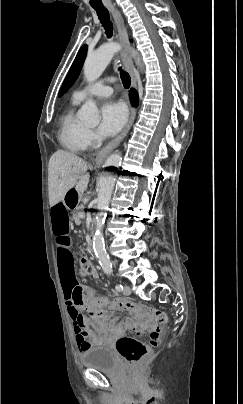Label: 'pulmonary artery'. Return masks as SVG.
<instances>
[{
    "label": "pulmonary artery",
    "instance_id": "pulmonary-artery-1",
    "mask_svg": "<svg viewBox=\"0 0 243 404\" xmlns=\"http://www.w3.org/2000/svg\"><path fill=\"white\" fill-rule=\"evenodd\" d=\"M105 51H101L99 54H104ZM108 58L105 57L103 59V63H107ZM117 82V79L114 77H104L98 79L92 83L80 86L76 89V94L81 99H85L88 96H108L112 93V84Z\"/></svg>",
    "mask_w": 243,
    "mask_h": 404
}]
</instances>
